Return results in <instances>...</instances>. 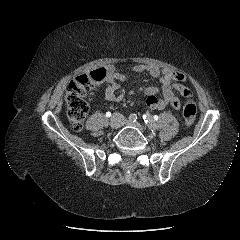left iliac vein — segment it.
Returning a JSON list of instances; mask_svg holds the SVG:
<instances>
[{"instance_id":"4c4485c4","label":"left iliac vein","mask_w":240,"mask_h":240,"mask_svg":"<svg viewBox=\"0 0 240 240\" xmlns=\"http://www.w3.org/2000/svg\"><path fill=\"white\" fill-rule=\"evenodd\" d=\"M125 125L135 127L137 129L141 130L142 132H144L143 126L140 123H138V122L126 121Z\"/></svg>"}]
</instances>
